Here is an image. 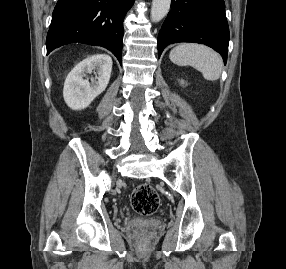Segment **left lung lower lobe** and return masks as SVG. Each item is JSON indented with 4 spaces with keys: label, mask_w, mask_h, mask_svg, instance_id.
Masks as SVG:
<instances>
[{
    "label": "left lung lower lobe",
    "mask_w": 286,
    "mask_h": 269,
    "mask_svg": "<svg viewBox=\"0 0 286 269\" xmlns=\"http://www.w3.org/2000/svg\"><path fill=\"white\" fill-rule=\"evenodd\" d=\"M158 35V57L175 42H195L215 49L227 60L229 28L224 0H172Z\"/></svg>",
    "instance_id": "left-lung-lower-lobe-1"
}]
</instances>
